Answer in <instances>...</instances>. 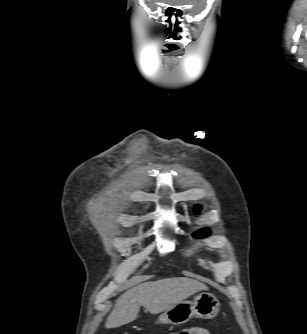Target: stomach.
Wrapping results in <instances>:
<instances>
[{"instance_id":"1","label":"stomach","mask_w":307,"mask_h":334,"mask_svg":"<svg viewBox=\"0 0 307 334\" xmlns=\"http://www.w3.org/2000/svg\"><path fill=\"white\" fill-rule=\"evenodd\" d=\"M220 303L208 292L195 296L193 301H182L165 310L158 318L160 324L181 325L191 318H214L219 312Z\"/></svg>"}]
</instances>
